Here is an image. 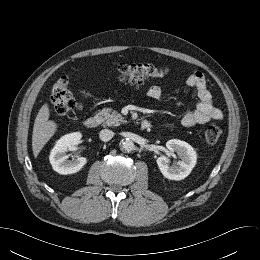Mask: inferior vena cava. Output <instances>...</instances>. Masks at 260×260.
Returning <instances> with one entry per match:
<instances>
[{
  "mask_svg": "<svg viewBox=\"0 0 260 260\" xmlns=\"http://www.w3.org/2000/svg\"><path fill=\"white\" fill-rule=\"evenodd\" d=\"M114 132L109 129H103L99 133V137L102 141L107 142L112 139Z\"/></svg>",
  "mask_w": 260,
  "mask_h": 260,
  "instance_id": "1",
  "label": "inferior vena cava"
}]
</instances>
